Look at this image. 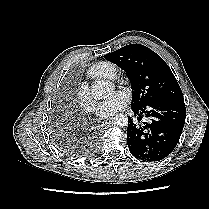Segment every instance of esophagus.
<instances>
[{"label":"esophagus","mask_w":209,"mask_h":209,"mask_svg":"<svg viewBox=\"0 0 209 209\" xmlns=\"http://www.w3.org/2000/svg\"><path fill=\"white\" fill-rule=\"evenodd\" d=\"M108 124V120H103V121H100V125L101 126H105Z\"/></svg>","instance_id":"34e87169"}]
</instances>
